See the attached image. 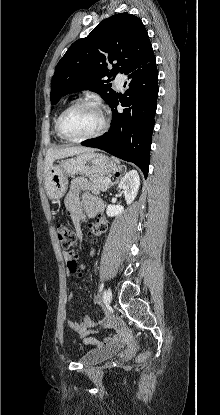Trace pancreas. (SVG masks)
<instances>
[{
	"label": "pancreas",
	"mask_w": 220,
	"mask_h": 415,
	"mask_svg": "<svg viewBox=\"0 0 220 415\" xmlns=\"http://www.w3.org/2000/svg\"><path fill=\"white\" fill-rule=\"evenodd\" d=\"M105 179V177H92L91 181L93 189L101 190L103 192L107 191L111 186V182L107 183Z\"/></svg>",
	"instance_id": "1"
}]
</instances>
